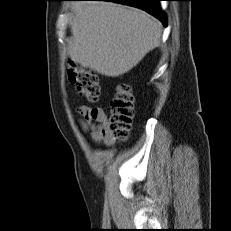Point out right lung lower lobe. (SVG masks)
I'll use <instances>...</instances> for the list:
<instances>
[{
	"mask_svg": "<svg viewBox=\"0 0 231 231\" xmlns=\"http://www.w3.org/2000/svg\"><path fill=\"white\" fill-rule=\"evenodd\" d=\"M80 1H112L130 6L141 8L148 13L154 15L166 25V17L162 12L159 1L161 0H80Z\"/></svg>",
	"mask_w": 231,
	"mask_h": 231,
	"instance_id": "right-lung-lower-lobe-1",
	"label": "right lung lower lobe"
}]
</instances>
